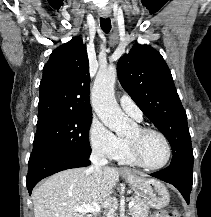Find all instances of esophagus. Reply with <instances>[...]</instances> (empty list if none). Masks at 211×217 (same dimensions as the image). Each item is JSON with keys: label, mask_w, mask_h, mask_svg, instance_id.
<instances>
[{"label": "esophagus", "mask_w": 211, "mask_h": 217, "mask_svg": "<svg viewBox=\"0 0 211 217\" xmlns=\"http://www.w3.org/2000/svg\"><path fill=\"white\" fill-rule=\"evenodd\" d=\"M105 18L107 17V15H103ZM124 171H126L125 169H124Z\"/></svg>", "instance_id": "obj_1"}]
</instances>
